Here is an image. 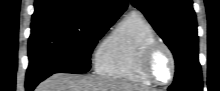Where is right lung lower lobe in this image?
Segmentation results:
<instances>
[{
    "mask_svg": "<svg viewBox=\"0 0 220 91\" xmlns=\"http://www.w3.org/2000/svg\"><path fill=\"white\" fill-rule=\"evenodd\" d=\"M40 81L26 82L25 87L27 91H32Z\"/></svg>",
    "mask_w": 220,
    "mask_h": 91,
    "instance_id": "1",
    "label": "right lung lower lobe"
}]
</instances>
